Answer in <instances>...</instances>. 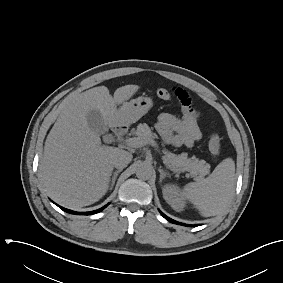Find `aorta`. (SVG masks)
Here are the masks:
<instances>
[{"label":"aorta","mask_w":283,"mask_h":283,"mask_svg":"<svg viewBox=\"0 0 283 283\" xmlns=\"http://www.w3.org/2000/svg\"><path fill=\"white\" fill-rule=\"evenodd\" d=\"M136 175L141 179H149L152 176V167L148 163H140L137 166Z\"/></svg>","instance_id":"1"}]
</instances>
